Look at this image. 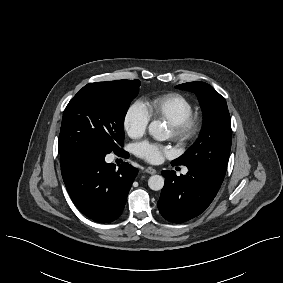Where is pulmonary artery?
Wrapping results in <instances>:
<instances>
[{
  "instance_id": "pulmonary-artery-1",
  "label": "pulmonary artery",
  "mask_w": 283,
  "mask_h": 283,
  "mask_svg": "<svg viewBox=\"0 0 283 283\" xmlns=\"http://www.w3.org/2000/svg\"><path fill=\"white\" fill-rule=\"evenodd\" d=\"M187 172V169L185 168L184 170H183V173H186Z\"/></svg>"
}]
</instances>
